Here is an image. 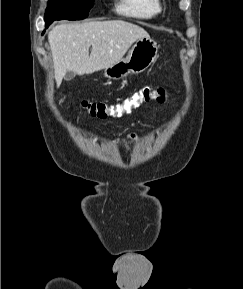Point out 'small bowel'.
<instances>
[{
  "instance_id": "small-bowel-1",
  "label": "small bowel",
  "mask_w": 243,
  "mask_h": 289,
  "mask_svg": "<svg viewBox=\"0 0 243 289\" xmlns=\"http://www.w3.org/2000/svg\"><path fill=\"white\" fill-rule=\"evenodd\" d=\"M139 139H140V137H139L138 134H136V133H131V134L126 135V137H125L124 140H126V141H137V140H139ZM116 141H119V142H120L119 139H116Z\"/></svg>"
}]
</instances>
